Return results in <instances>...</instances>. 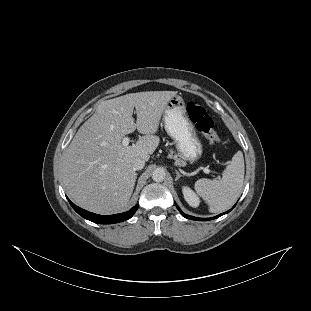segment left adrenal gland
I'll return each mask as SVG.
<instances>
[{
	"instance_id": "1",
	"label": "left adrenal gland",
	"mask_w": 311,
	"mask_h": 311,
	"mask_svg": "<svg viewBox=\"0 0 311 311\" xmlns=\"http://www.w3.org/2000/svg\"><path fill=\"white\" fill-rule=\"evenodd\" d=\"M176 172V178L175 181H177L180 177H182V175L179 173V171L175 170Z\"/></svg>"
}]
</instances>
